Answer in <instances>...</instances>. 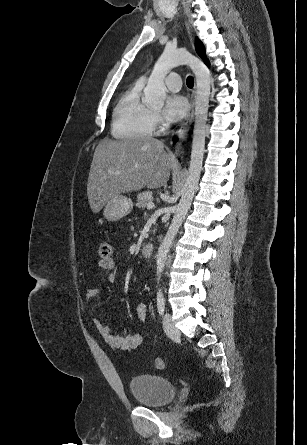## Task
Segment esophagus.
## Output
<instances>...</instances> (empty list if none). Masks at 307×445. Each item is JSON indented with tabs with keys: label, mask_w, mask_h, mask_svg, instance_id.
<instances>
[{
	"label": "esophagus",
	"mask_w": 307,
	"mask_h": 445,
	"mask_svg": "<svg viewBox=\"0 0 307 445\" xmlns=\"http://www.w3.org/2000/svg\"><path fill=\"white\" fill-rule=\"evenodd\" d=\"M185 25L187 27L189 35H191L190 24L186 19H185ZM195 98H196V85L194 86V90L192 91V94H191L190 111L187 114V116L184 118L183 122L180 124V126L177 130L178 142L176 144V150H175L176 153L181 152L182 143L185 140V138L187 137L189 129L194 121Z\"/></svg>",
	"instance_id": "obj_1"
}]
</instances>
